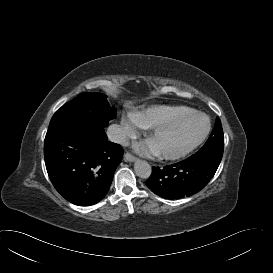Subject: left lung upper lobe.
Masks as SVG:
<instances>
[{"label":"left lung upper lobe","instance_id":"left-lung-upper-lobe-1","mask_svg":"<svg viewBox=\"0 0 273 273\" xmlns=\"http://www.w3.org/2000/svg\"><path fill=\"white\" fill-rule=\"evenodd\" d=\"M224 148V134L219 118L216 119L215 127L204 146L190 158L204 159L219 166Z\"/></svg>","mask_w":273,"mask_h":273}]
</instances>
